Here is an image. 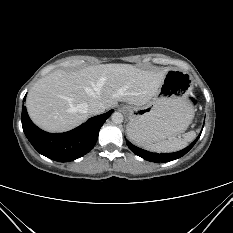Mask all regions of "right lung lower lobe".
<instances>
[{
	"label": "right lung lower lobe",
	"instance_id": "right-lung-lower-lobe-1",
	"mask_svg": "<svg viewBox=\"0 0 233 233\" xmlns=\"http://www.w3.org/2000/svg\"><path fill=\"white\" fill-rule=\"evenodd\" d=\"M112 112L110 110L92 117L65 133L52 134L39 129L30 120L25 106L22 108L21 121L27 139L40 154L58 162H69L82 157L94 147L101 126Z\"/></svg>",
	"mask_w": 233,
	"mask_h": 233
}]
</instances>
